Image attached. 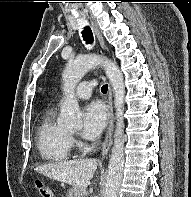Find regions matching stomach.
Here are the masks:
<instances>
[{"mask_svg": "<svg viewBox=\"0 0 191 197\" xmlns=\"http://www.w3.org/2000/svg\"><path fill=\"white\" fill-rule=\"evenodd\" d=\"M67 197H85V192L79 188L72 187L68 190Z\"/></svg>", "mask_w": 191, "mask_h": 197, "instance_id": "obj_1", "label": "stomach"}]
</instances>
